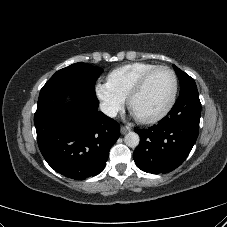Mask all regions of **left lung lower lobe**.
I'll return each instance as SVG.
<instances>
[{"label":"left lung lower lobe","mask_w":227,"mask_h":227,"mask_svg":"<svg viewBox=\"0 0 227 227\" xmlns=\"http://www.w3.org/2000/svg\"><path fill=\"white\" fill-rule=\"evenodd\" d=\"M201 103L197 89L180 94L173 108L148 129L135 130L140 136L133 158L143 171L167 173L188 157L199 132Z\"/></svg>","instance_id":"0a47b994"}]
</instances>
